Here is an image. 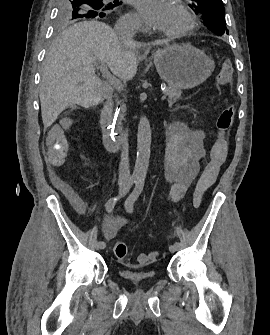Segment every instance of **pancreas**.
<instances>
[{"mask_svg":"<svg viewBox=\"0 0 270 335\" xmlns=\"http://www.w3.org/2000/svg\"><path fill=\"white\" fill-rule=\"evenodd\" d=\"M166 96H168V104L169 106H173L175 102H178V100H181V90H174V88H166L165 90ZM121 120H124V116H120V122L118 124V130H122L121 128Z\"/></svg>","mask_w":270,"mask_h":335,"instance_id":"pancreas-1","label":"pancreas"}]
</instances>
